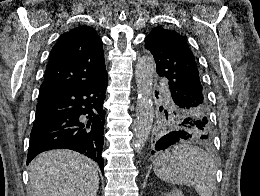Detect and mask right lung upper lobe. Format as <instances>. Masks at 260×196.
<instances>
[{
	"label": "right lung upper lobe",
	"instance_id": "1",
	"mask_svg": "<svg viewBox=\"0 0 260 196\" xmlns=\"http://www.w3.org/2000/svg\"><path fill=\"white\" fill-rule=\"evenodd\" d=\"M107 77L102 41L90 26L63 33L52 48L39 101Z\"/></svg>",
	"mask_w": 260,
	"mask_h": 196
}]
</instances>
